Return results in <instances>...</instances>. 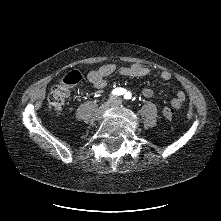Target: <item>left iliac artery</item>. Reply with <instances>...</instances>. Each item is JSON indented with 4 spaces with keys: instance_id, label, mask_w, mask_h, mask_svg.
Instances as JSON below:
<instances>
[{
    "instance_id": "obj_1",
    "label": "left iliac artery",
    "mask_w": 221,
    "mask_h": 221,
    "mask_svg": "<svg viewBox=\"0 0 221 221\" xmlns=\"http://www.w3.org/2000/svg\"><path fill=\"white\" fill-rule=\"evenodd\" d=\"M130 97H131V94L129 92H127L124 96L125 99H130Z\"/></svg>"
}]
</instances>
